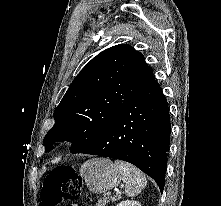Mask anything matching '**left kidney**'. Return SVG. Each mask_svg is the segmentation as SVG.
Returning <instances> with one entry per match:
<instances>
[{
  "label": "left kidney",
  "instance_id": "5707ae66",
  "mask_svg": "<svg viewBox=\"0 0 221 206\" xmlns=\"http://www.w3.org/2000/svg\"><path fill=\"white\" fill-rule=\"evenodd\" d=\"M116 206H141V204L138 201L125 200V201L120 202Z\"/></svg>",
  "mask_w": 221,
  "mask_h": 206
}]
</instances>
